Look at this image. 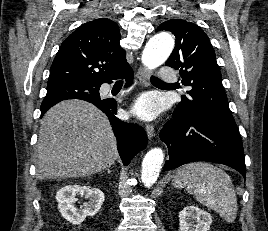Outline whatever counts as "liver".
<instances>
[{"label": "liver", "instance_id": "obj_1", "mask_svg": "<svg viewBox=\"0 0 268 231\" xmlns=\"http://www.w3.org/2000/svg\"><path fill=\"white\" fill-rule=\"evenodd\" d=\"M117 158L110 122L91 103L60 102L41 120L34 161L38 179L91 176L113 165Z\"/></svg>", "mask_w": 268, "mask_h": 231}]
</instances>
